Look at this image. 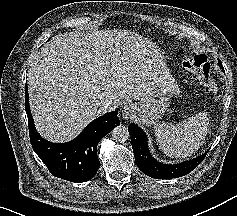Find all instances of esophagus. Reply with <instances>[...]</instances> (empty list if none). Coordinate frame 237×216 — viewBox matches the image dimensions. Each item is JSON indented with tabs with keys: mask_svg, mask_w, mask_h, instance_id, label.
<instances>
[{
	"mask_svg": "<svg viewBox=\"0 0 237 216\" xmlns=\"http://www.w3.org/2000/svg\"><path fill=\"white\" fill-rule=\"evenodd\" d=\"M134 106L132 104L126 103L122 107V118L124 120H133L134 119Z\"/></svg>",
	"mask_w": 237,
	"mask_h": 216,
	"instance_id": "obj_1",
	"label": "esophagus"
}]
</instances>
